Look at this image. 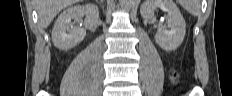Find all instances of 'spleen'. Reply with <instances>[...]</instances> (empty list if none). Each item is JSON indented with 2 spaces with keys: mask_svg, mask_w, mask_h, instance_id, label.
I'll return each instance as SVG.
<instances>
[{
  "mask_svg": "<svg viewBox=\"0 0 232 96\" xmlns=\"http://www.w3.org/2000/svg\"><path fill=\"white\" fill-rule=\"evenodd\" d=\"M177 2L193 16H198L201 12L200 0H177Z\"/></svg>",
  "mask_w": 232,
  "mask_h": 96,
  "instance_id": "spleen-1",
  "label": "spleen"
}]
</instances>
